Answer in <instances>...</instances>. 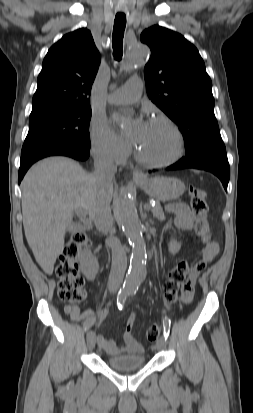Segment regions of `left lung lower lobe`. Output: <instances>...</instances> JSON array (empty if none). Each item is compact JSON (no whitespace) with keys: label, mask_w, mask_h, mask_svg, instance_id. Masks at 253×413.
<instances>
[{"label":"left lung lower lobe","mask_w":253,"mask_h":413,"mask_svg":"<svg viewBox=\"0 0 253 413\" xmlns=\"http://www.w3.org/2000/svg\"><path fill=\"white\" fill-rule=\"evenodd\" d=\"M185 168H196L215 174L221 180L225 190H227V185L230 178V168L226 150L212 152L204 158L198 160L183 157L177 163L169 166L167 170Z\"/></svg>","instance_id":"left-lung-lower-lobe-1"}]
</instances>
